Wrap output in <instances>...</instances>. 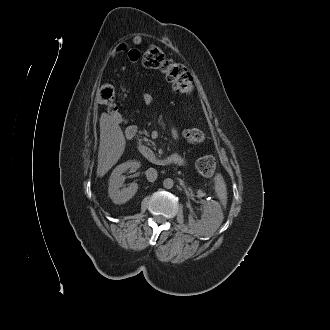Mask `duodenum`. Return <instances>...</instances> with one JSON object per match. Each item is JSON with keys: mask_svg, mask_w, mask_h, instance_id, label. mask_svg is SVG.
<instances>
[{"mask_svg": "<svg viewBox=\"0 0 330 330\" xmlns=\"http://www.w3.org/2000/svg\"><path fill=\"white\" fill-rule=\"evenodd\" d=\"M136 130H132L131 128H128L126 130V137L129 139H133L135 136ZM139 151L141 155L149 162L154 163V164H165L169 162L168 159H160L159 157L156 156V154L148 147L144 145L139 146Z\"/></svg>", "mask_w": 330, "mask_h": 330, "instance_id": "obj_1", "label": "duodenum"}]
</instances>
